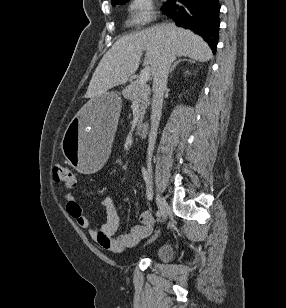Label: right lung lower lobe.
Masks as SVG:
<instances>
[{
    "mask_svg": "<svg viewBox=\"0 0 286 308\" xmlns=\"http://www.w3.org/2000/svg\"><path fill=\"white\" fill-rule=\"evenodd\" d=\"M176 0L167 1L162 10L180 27L195 31L203 37L215 53L218 43L219 10L218 0Z\"/></svg>",
    "mask_w": 286,
    "mask_h": 308,
    "instance_id": "obj_1",
    "label": "right lung lower lobe"
}]
</instances>
